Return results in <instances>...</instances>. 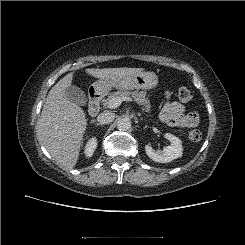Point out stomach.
<instances>
[{"label":"stomach","mask_w":245,"mask_h":245,"mask_svg":"<svg viewBox=\"0 0 245 245\" xmlns=\"http://www.w3.org/2000/svg\"><path fill=\"white\" fill-rule=\"evenodd\" d=\"M158 84V77L153 72H141L124 78L117 79H98L92 86L100 94L111 90L112 87L117 89H153Z\"/></svg>","instance_id":"obj_1"}]
</instances>
